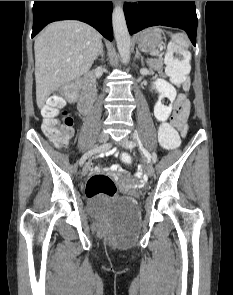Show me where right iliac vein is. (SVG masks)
Returning <instances> with one entry per match:
<instances>
[{
  "instance_id": "63e3f726",
  "label": "right iliac vein",
  "mask_w": 233,
  "mask_h": 295,
  "mask_svg": "<svg viewBox=\"0 0 233 295\" xmlns=\"http://www.w3.org/2000/svg\"><path fill=\"white\" fill-rule=\"evenodd\" d=\"M108 139H109V135H108V133H106V132H102V133L99 135L98 142L101 143V144H104V145H105V143L108 141ZM100 147H101V146H100ZM106 150H107V148H106ZM103 151H105V150H103ZM89 168H90V162L87 161V162L85 163V165L83 166L82 174H83V175H86V174L88 173V171H89Z\"/></svg>"
}]
</instances>
